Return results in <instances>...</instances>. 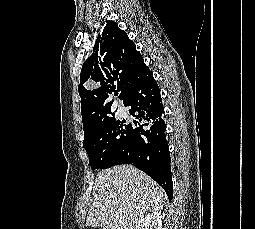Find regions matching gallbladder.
Instances as JSON below:
<instances>
[{"instance_id": "gallbladder-1", "label": "gallbladder", "mask_w": 255, "mask_h": 229, "mask_svg": "<svg viewBox=\"0 0 255 229\" xmlns=\"http://www.w3.org/2000/svg\"><path fill=\"white\" fill-rule=\"evenodd\" d=\"M102 229H110V227H108V226H105V227H103Z\"/></svg>"}]
</instances>
